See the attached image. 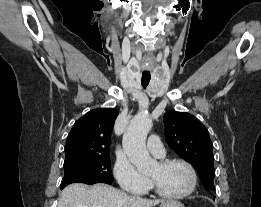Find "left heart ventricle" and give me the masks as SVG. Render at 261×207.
Returning <instances> with one entry per match:
<instances>
[{
  "instance_id": "obj_1",
  "label": "left heart ventricle",
  "mask_w": 261,
  "mask_h": 207,
  "mask_svg": "<svg viewBox=\"0 0 261 207\" xmlns=\"http://www.w3.org/2000/svg\"><path fill=\"white\" fill-rule=\"evenodd\" d=\"M148 176L160 189L170 194L182 193L190 184L188 170L181 164L161 166L156 163Z\"/></svg>"
}]
</instances>
